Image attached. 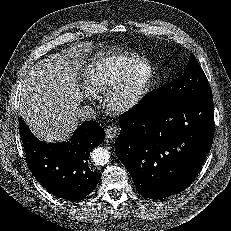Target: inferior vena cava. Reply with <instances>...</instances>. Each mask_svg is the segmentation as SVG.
I'll return each instance as SVG.
<instances>
[{
	"label": "inferior vena cava",
	"instance_id": "1",
	"mask_svg": "<svg viewBox=\"0 0 231 231\" xmlns=\"http://www.w3.org/2000/svg\"><path fill=\"white\" fill-rule=\"evenodd\" d=\"M77 116L82 121L96 119V112L91 106H83L77 111Z\"/></svg>",
	"mask_w": 231,
	"mask_h": 231
}]
</instances>
